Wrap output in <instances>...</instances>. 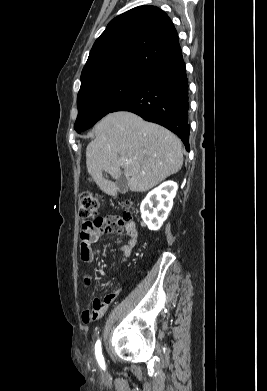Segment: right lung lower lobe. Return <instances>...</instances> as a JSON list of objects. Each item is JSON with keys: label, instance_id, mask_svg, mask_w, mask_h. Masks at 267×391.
<instances>
[{"label": "right lung lower lobe", "instance_id": "right-lung-lower-lobe-1", "mask_svg": "<svg viewBox=\"0 0 267 391\" xmlns=\"http://www.w3.org/2000/svg\"><path fill=\"white\" fill-rule=\"evenodd\" d=\"M188 108V80L180 56L149 72L143 84L111 112L129 111L160 124L177 134L189 151Z\"/></svg>", "mask_w": 267, "mask_h": 391}]
</instances>
